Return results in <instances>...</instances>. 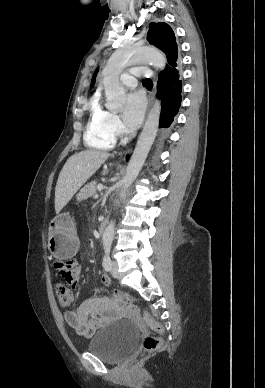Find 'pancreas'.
<instances>
[{
  "label": "pancreas",
  "instance_id": "1",
  "mask_svg": "<svg viewBox=\"0 0 265 388\" xmlns=\"http://www.w3.org/2000/svg\"><path fill=\"white\" fill-rule=\"evenodd\" d=\"M97 184L98 182H90V184L84 186V188L80 190L79 194H77L78 202H81V200H87V198H91V196H95Z\"/></svg>",
  "mask_w": 265,
  "mask_h": 388
}]
</instances>
